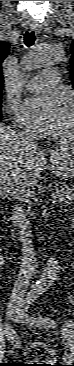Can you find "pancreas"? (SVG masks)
I'll list each match as a JSON object with an SVG mask.
<instances>
[{
    "instance_id": "cf45deb5",
    "label": "pancreas",
    "mask_w": 74,
    "mask_h": 366,
    "mask_svg": "<svg viewBox=\"0 0 74 366\" xmlns=\"http://www.w3.org/2000/svg\"><path fill=\"white\" fill-rule=\"evenodd\" d=\"M55 190L58 195L62 196L64 201H67L69 204L72 203L74 199V189L71 185L56 184Z\"/></svg>"
}]
</instances>
